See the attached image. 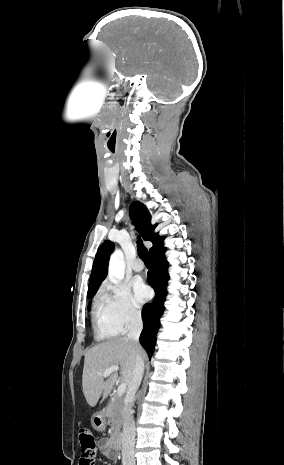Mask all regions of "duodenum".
<instances>
[{
	"instance_id": "1",
	"label": "duodenum",
	"mask_w": 284,
	"mask_h": 465,
	"mask_svg": "<svg viewBox=\"0 0 284 465\" xmlns=\"http://www.w3.org/2000/svg\"><path fill=\"white\" fill-rule=\"evenodd\" d=\"M102 411H99L98 414L101 416L102 415ZM122 442H123V437H122V434L119 433V432H115L113 438H112V443H113V446L114 448L117 450V449H120L122 447Z\"/></svg>"
}]
</instances>
